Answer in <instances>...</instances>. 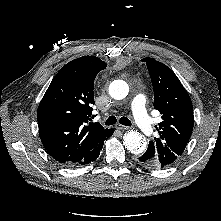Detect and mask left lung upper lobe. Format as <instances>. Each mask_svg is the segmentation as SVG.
<instances>
[{
    "label": "left lung upper lobe",
    "instance_id": "left-lung-upper-lobe-1",
    "mask_svg": "<svg viewBox=\"0 0 221 221\" xmlns=\"http://www.w3.org/2000/svg\"><path fill=\"white\" fill-rule=\"evenodd\" d=\"M146 62L154 90V109L162 114L158 138L149 142L164 167L173 164L183 153L192 134L194 115L189 94L174 72L165 64L147 57Z\"/></svg>",
    "mask_w": 221,
    "mask_h": 221
}]
</instances>
